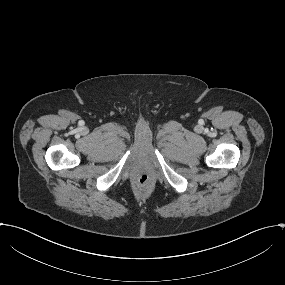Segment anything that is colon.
Wrapping results in <instances>:
<instances>
[{
    "label": "colon",
    "mask_w": 285,
    "mask_h": 285,
    "mask_svg": "<svg viewBox=\"0 0 285 285\" xmlns=\"http://www.w3.org/2000/svg\"><path fill=\"white\" fill-rule=\"evenodd\" d=\"M154 184L152 176L145 171L140 172L136 177V186L139 189L147 190Z\"/></svg>",
    "instance_id": "5ec220e1"
}]
</instances>
